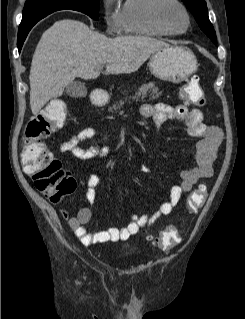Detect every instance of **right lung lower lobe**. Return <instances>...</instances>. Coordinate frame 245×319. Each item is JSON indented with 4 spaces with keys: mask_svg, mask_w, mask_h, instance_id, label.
Listing matches in <instances>:
<instances>
[{
    "mask_svg": "<svg viewBox=\"0 0 245 319\" xmlns=\"http://www.w3.org/2000/svg\"><path fill=\"white\" fill-rule=\"evenodd\" d=\"M35 24H32V25H30V26H28L26 28H23V29H19V31H18V42H17L19 51H21L22 45H23V43H24L29 31L31 30V28Z\"/></svg>",
    "mask_w": 245,
    "mask_h": 319,
    "instance_id": "right-lung-lower-lobe-1",
    "label": "right lung lower lobe"
}]
</instances>
